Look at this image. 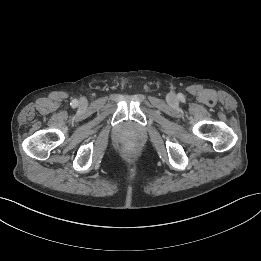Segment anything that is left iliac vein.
<instances>
[{
	"label": "left iliac vein",
	"mask_w": 261,
	"mask_h": 261,
	"mask_svg": "<svg viewBox=\"0 0 261 261\" xmlns=\"http://www.w3.org/2000/svg\"><path fill=\"white\" fill-rule=\"evenodd\" d=\"M168 98H169V100H170V101H174V99H175V96H174V95H169V97H168Z\"/></svg>",
	"instance_id": "1"
}]
</instances>
